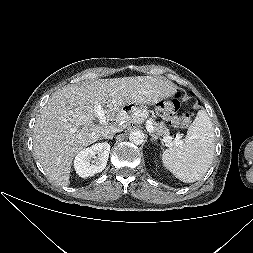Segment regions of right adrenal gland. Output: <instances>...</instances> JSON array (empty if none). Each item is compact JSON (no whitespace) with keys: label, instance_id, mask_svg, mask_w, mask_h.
<instances>
[{"label":"right adrenal gland","instance_id":"right-adrenal-gland-1","mask_svg":"<svg viewBox=\"0 0 253 253\" xmlns=\"http://www.w3.org/2000/svg\"><path fill=\"white\" fill-rule=\"evenodd\" d=\"M114 135H111V136H108V137H105V138H101V139H113Z\"/></svg>","mask_w":253,"mask_h":253}]
</instances>
